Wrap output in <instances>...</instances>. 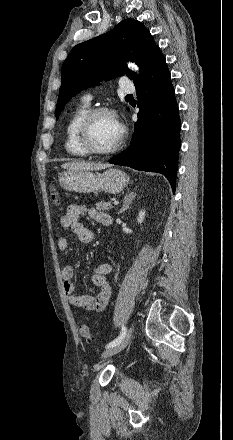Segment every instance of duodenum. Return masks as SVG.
I'll use <instances>...</instances> for the list:
<instances>
[{"label":"duodenum","instance_id":"duodenum-1","mask_svg":"<svg viewBox=\"0 0 233 440\" xmlns=\"http://www.w3.org/2000/svg\"><path fill=\"white\" fill-rule=\"evenodd\" d=\"M103 225L105 226H110L112 224V219L111 218H106L103 220Z\"/></svg>","mask_w":233,"mask_h":440}]
</instances>
